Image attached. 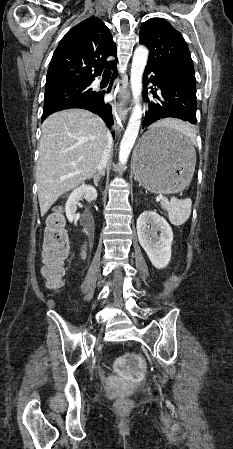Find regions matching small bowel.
I'll use <instances>...</instances> for the list:
<instances>
[{
    "mask_svg": "<svg viewBox=\"0 0 233 449\" xmlns=\"http://www.w3.org/2000/svg\"><path fill=\"white\" fill-rule=\"evenodd\" d=\"M139 359L136 354H120L118 361L122 364L116 370V375L119 377H141L144 365L143 363H136Z\"/></svg>",
    "mask_w": 233,
    "mask_h": 449,
    "instance_id": "1",
    "label": "small bowel"
}]
</instances>
